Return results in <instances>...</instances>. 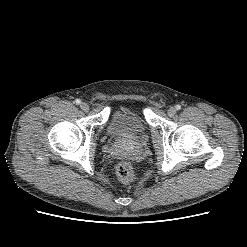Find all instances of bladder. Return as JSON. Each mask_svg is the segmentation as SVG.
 Segmentation results:
<instances>
[{
    "label": "bladder",
    "instance_id": "bladder-1",
    "mask_svg": "<svg viewBox=\"0 0 247 247\" xmlns=\"http://www.w3.org/2000/svg\"><path fill=\"white\" fill-rule=\"evenodd\" d=\"M108 132L125 140H139L146 134L147 124L138 111L120 108L111 114Z\"/></svg>",
    "mask_w": 247,
    "mask_h": 247
}]
</instances>
